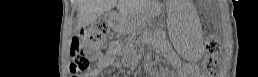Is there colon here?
<instances>
[{
    "instance_id": "obj_1",
    "label": "colon",
    "mask_w": 258,
    "mask_h": 77,
    "mask_svg": "<svg viewBox=\"0 0 258 77\" xmlns=\"http://www.w3.org/2000/svg\"><path fill=\"white\" fill-rule=\"evenodd\" d=\"M108 28L101 21H95L91 25L80 30L72 42L74 62L71 65V71L74 74H80L90 67L88 58L82 53L83 48L100 49L107 43ZM220 51V44L217 39L210 36L206 44V55L204 58V67L211 74L218 73L217 56Z\"/></svg>"
}]
</instances>
